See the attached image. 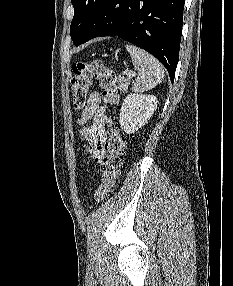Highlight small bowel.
Instances as JSON below:
<instances>
[{
    "label": "small bowel",
    "mask_w": 233,
    "mask_h": 286,
    "mask_svg": "<svg viewBox=\"0 0 233 286\" xmlns=\"http://www.w3.org/2000/svg\"><path fill=\"white\" fill-rule=\"evenodd\" d=\"M101 106V94L94 91L90 94L87 104L82 111L79 123L84 125L92 122L83 132L87 141V155L96 163L102 162L106 155L105 142L107 140L106 115Z\"/></svg>",
    "instance_id": "1"
}]
</instances>
